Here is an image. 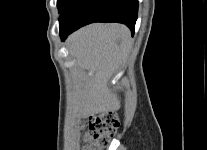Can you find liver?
Masks as SVG:
<instances>
[{
	"mask_svg": "<svg viewBox=\"0 0 207 150\" xmlns=\"http://www.w3.org/2000/svg\"><path fill=\"white\" fill-rule=\"evenodd\" d=\"M67 45L78 67L70 93L73 113L86 118L117 110L120 99L111 93L108 82L130 49L129 29L115 23L91 24L70 35Z\"/></svg>",
	"mask_w": 207,
	"mask_h": 150,
	"instance_id": "liver-1",
	"label": "liver"
}]
</instances>
